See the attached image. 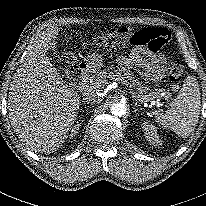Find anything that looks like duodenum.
Wrapping results in <instances>:
<instances>
[{
	"label": "duodenum",
	"instance_id": "410a0bca",
	"mask_svg": "<svg viewBox=\"0 0 206 206\" xmlns=\"http://www.w3.org/2000/svg\"><path fill=\"white\" fill-rule=\"evenodd\" d=\"M88 71V68H83L82 66H77L75 67V74H76V77H80V76H83L86 74V72Z\"/></svg>",
	"mask_w": 206,
	"mask_h": 206
}]
</instances>
